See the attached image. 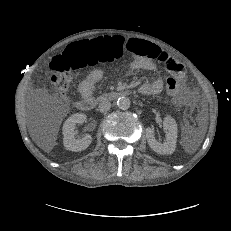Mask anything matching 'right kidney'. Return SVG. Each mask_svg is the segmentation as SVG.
I'll return each instance as SVG.
<instances>
[{
	"label": "right kidney",
	"mask_w": 231,
	"mask_h": 231,
	"mask_svg": "<svg viewBox=\"0 0 231 231\" xmlns=\"http://www.w3.org/2000/svg\"><path fill=\"white\" fill-rule=\"evenodd\" d=\"M86 120L84 113H76L71 115L64 123L63 131V144L67 150L79 152L85 150L92 142V137L89 134L84 135L83 138H75V125L82 124Z\"/></svg>",
	"instance_id": "right-kidney-1"
}]
</instances>
